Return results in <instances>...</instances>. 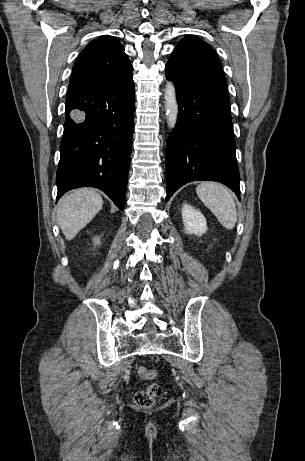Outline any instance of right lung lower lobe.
Listing matches in <instances>:
<instances>
[{
    "mask_svg": "<svg viewBox=\"0 0 305 461\" xmlns=\"http://www.w3.org/2000/svg\"><path fill=\"white\" fill-rule=\"evenodd\" d=\"M134 106L132 74L67 93L57 201L68 190L89 186L104 191L124 209Z\"/></svg>",
    "mask_w": 305,
    "mask_h": 461,
    "instance_id": "obj_1",
    "label": "right lung lower lobe"
}]
</instances>
